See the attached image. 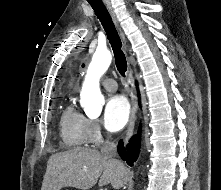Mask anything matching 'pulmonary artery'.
Masks as SVG:
<instances>
[{"label":"pulmonary artery","instance_id":"1","mask_svg":"<svg viewBox=\"0 0 221 190\" xmlns=\"http://www.w3.org/2000/svg\"><path fill=\"white\" fill-rule=\"evenodd\" d=\"M103 86L105 87L106 90L108 91H116L117 90V83L114 79L112 78H106L102 81Z\"/></svg>","mask_w":221,"mask_h":190}]
</instances>
